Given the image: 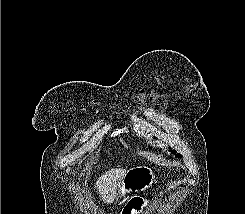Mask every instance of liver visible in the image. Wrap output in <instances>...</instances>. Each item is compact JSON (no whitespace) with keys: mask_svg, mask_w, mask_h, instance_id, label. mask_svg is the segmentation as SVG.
Instances as JSON below:
<instances>
[{"mask_svg":"<svg viewBox=\"0 0 245 214\" xmlns=\"http://www.w3.org/2000/svg\"><path fill=\"white\" fill-rule=\"evenodd\" d=\"M126 172L123 168H113L96 181V187L104 203L111 204L114 201Z\"/></svg>","mask_w":245,"mask_h":214,"instance_id":"6515ba94","label":"liver"}]
</instances>
